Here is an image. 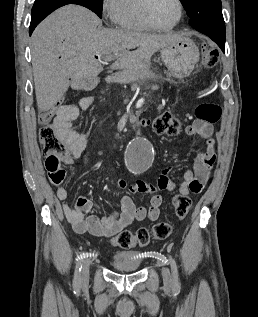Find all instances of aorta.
<instances>
[{"label":"aorta","instance_id":"1","mask_svg":"<svg viewBox=\"0 0 258 317\" xmlns=\"http://www.w3.org/2000/svg\"><path fill=\"white\" fill-rule=\"evenodd\" d=\"M126 165L134 174L146 171L153 162L151 143L145 138H136L127 148Z\"/></svg>","mask_w":258,"mask_h":317}]
</instances>
